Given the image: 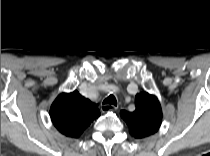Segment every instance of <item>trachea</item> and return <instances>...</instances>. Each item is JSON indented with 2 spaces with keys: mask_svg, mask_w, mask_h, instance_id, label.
Here are the masks:
<instances>
[{
  "mask_svg": "<svg viewBox=\"0 0 210 156\" xmlns=\"http://www.w3.org/2000/svg\"><path fill=\"white\" fill-rule=\"evenodd\" d=\"M103 104H111L117 106V101L114 95H109L104 101Z\"/></svg>",
  "mask_w": 210,
  "mask_h": 156,
  "instance_id": "trachea-1",
  "label": "trachea"
}]
</instances>
